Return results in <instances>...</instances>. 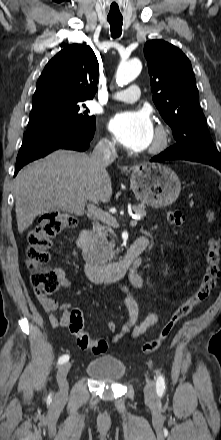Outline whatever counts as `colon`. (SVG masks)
<instances>
[{"instance_id": "5ec220e1", "label": "colon", "mask_w": 221, "mask_h": 440, "mask_svg": "<svg viewBox=\"0 0 221 440\" xmlns=\"http://www.w3.org/2000/svg\"><path fill=\"white\" fill-rule=\"evenodd\" d=\"M206 218L209 222H213L215 215L209 212ZM167 221L172 226L181 227L186 223V215L180 210H170L167 213ZM76 223L77 220L73 215L50 212L45 214L38 225L28 234L26 264L32 271L31 283L38 292L47 297L55 294L62 283V278L56 271L45 268L50 259L52 240L59 233L73 228ZM206 260V270L196 291L170 315L156 338L141 345L142 353L149 354L156 351L170 336L175 325L186 317L194 307L208 299L221 274V243L219 239L210 238L208 240ZM104 323L111 332L119 331L117 320L106 318ZM68 327L79 348L89 349L94 354H103L107 351L108 343L106 340L92 339L85 331L83 311L80 307H74L71 310Z\"/></svg>"}]
</instances>
